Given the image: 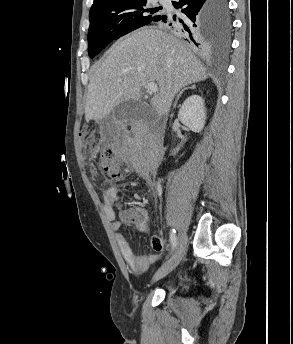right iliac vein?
<instances>
[{
	"mask_svg": "<svg viewBox=\"0 0 293 344\" xmlns=\"http://www.w3.org/2000/svg\"><path fill=\"white\" fill-rule=\"evenodd\" d=\"M185 250H186V237L184 234H181L179 236V240H178V245L177 248L174 252V254L172 255V257L165 262L155 273L152 282H155L161 278H163L164 276H166L167 274H169L172 270H174L178 264L180 263V261L182 260L184 254H185Z\"/></svg>",
	"mask_w": 293,
	"mask_h": 344,
	"instance_id": "right-iliac-vein-1",
	"label": "right iliac vein"
}]
</instances>
